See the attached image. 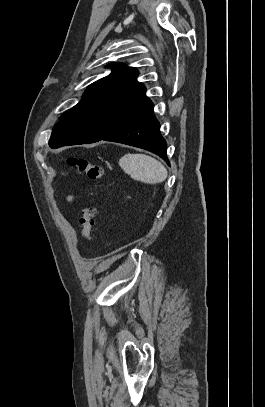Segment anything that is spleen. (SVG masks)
Segmentation results:
<instances>
[{"mask_svg": "<svg viewBox=\"0 0 265 407\" xmlns=\"http://www.w3.org/2000/svg\"><path fill=\"white\" fill-rule=\"evenodd\" d=\"M119 165L132 178L147 184L161 183L168 174L158 160L145 154H125L120 158Z\"/></svg>", "mask_w": 265, "mask_h": 407, "instance_id": "3e777b00", "label": "spleen"}]
</instances>
